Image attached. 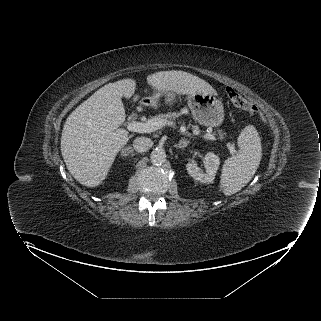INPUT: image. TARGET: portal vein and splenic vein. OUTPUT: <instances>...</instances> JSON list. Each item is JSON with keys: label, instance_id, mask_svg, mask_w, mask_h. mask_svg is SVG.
<instances>
[{"label": "portal vein and splenic vein", "instance_id": "obj_1", "mask_svg": "<svg viewBox=\"0 0 321 321\" xmlns=\"http://www.w3.org/2000/svg\"><path fill=\"white\" fill-rule=\"evenodd\" d=\"M167 124L166 121L164 120H160V119H151L147 122H131L128 124L127 129L129 131L132 132H138V133H149V132H153L156 131L162 127H164ZM169 124H173L172 122H170ZM183 134L187 135V136H192L191 133L189 132H184ZM198 134V133H196ZM204 139H209V140H216V136H214L213 134H205L202 136ZM227 147L228 149L234 153L235 152V148L232 144L227 143Z\"/></svg>", "mask_w": 321, "mask_h": 321}]
</instances>
